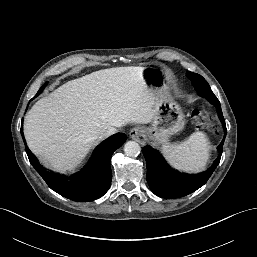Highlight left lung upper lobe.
<instances>
[{
    "label": "left lung upper lobe",
    "mask_w": 257,
    "mask_h": 257,
    "mask_svg": "<svg viewBox=\"0 0 257 257\" xmlns=\"http://www.w3.org/2000/svg\"><path fill=\"white\" fill-rule=\"evenodd\" d=\"M187 76L189 79H191L195 89L197 90V92L203 96L206 97L208 100H210L215 106H219L220 102L217 99V97L214 95V93L212 92L209 84L206 82V80L196 74V73H192V72H187Z\"/></svg>",
    "instance_id": "5c2ea615"
}]
</instances>
